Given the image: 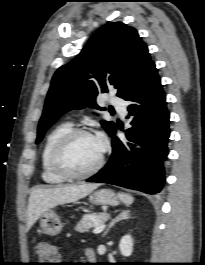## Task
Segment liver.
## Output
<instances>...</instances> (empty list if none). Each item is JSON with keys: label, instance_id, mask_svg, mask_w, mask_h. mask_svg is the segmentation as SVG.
Here are the masks:
<instances>
[{"label": "liver", "instance_id": "6515ba94", "mask_svg": "<svg viewBox=\"0 0 205 265\" xmlns=\"http://www.w3.org/2000/svg\"><path fill=\"white\" fill-rule=\"evenodd\" d=\"M98 186L99 184L82 183L56 188H34L28 202L27 229H30L36 220L51 208L84 198Z\"/></svg>", "mask_w": 205, "mask_h": 265}]
</instances>
